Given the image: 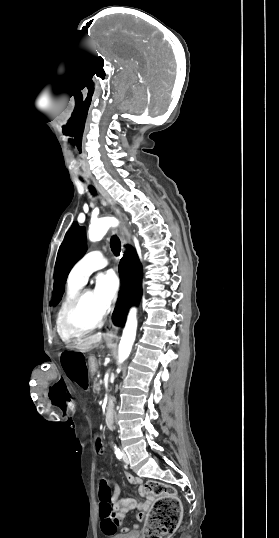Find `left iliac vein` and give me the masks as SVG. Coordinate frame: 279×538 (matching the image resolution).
I'll use <instances>...</instances> for the list:
<instances>
[{
  "mask_svg": "<svg viewBox=\"0 0 279 538\" xmlns=\"http://www.w3.org/2000/svg\"><path fill=\"white\" fill-rule=\"evenodd\" d=\"M123 460L125 463H129V459L126 454H124Z\"/></svg>",
  "mask_w": 279,
  "mask_h": 538,
  "instance_id": "1",
  "label": "left iliac vein"
}]
</instances>
